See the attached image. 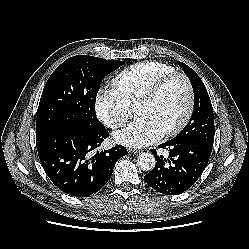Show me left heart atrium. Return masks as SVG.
I'll use <instances>...</instances> for the list:
<instances>
[{
	"label": "left heart atrium",
	"mask_w": 249,
	"mask_h": 249,
	"mask_svg": "<svg viewBox=\"0 0 249 249\" xmlns=\"http://www.w3.org/2000/svg\"><path fill=\"white\" fill-rule=\"evenodd\" d=\"M163 135V129L155 120L141 116L126 128L116 132L114 139L117 143L140 148L158 141Z\"/></svg>",
	"instance_id": "left-heart-atrium-1"
}]
</instances>
